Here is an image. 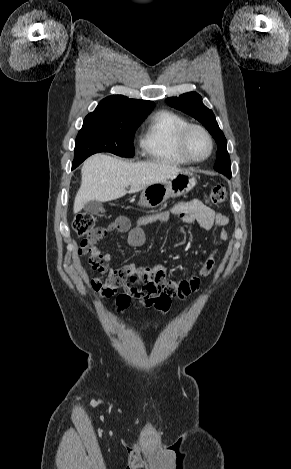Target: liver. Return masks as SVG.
Segmentation results:
<instances>
[{
	"label": "liver",
	"mask_w": 291,
	"mask_h": 469,
	"mask_svg": "<svg viewBox=\"0 0 291 469\" xmlns=\"http://www.w3.org/2000/svg\"><path fill=\"white\" fill-rule=\"evenodd\" d=\"M180 168L164 163L123 161L105 154L88 158L81 169V186L74 200L73 211L78 213L84 205L96 200L107 202L129 193L143 190L178 173Z\"/></svg>",
	"instance_id": "obj_1"
}]
</instances>
